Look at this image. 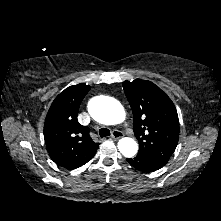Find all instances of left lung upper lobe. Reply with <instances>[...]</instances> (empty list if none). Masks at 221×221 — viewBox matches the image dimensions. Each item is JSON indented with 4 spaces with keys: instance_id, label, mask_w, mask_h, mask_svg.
<instances>
[{
    "instance_id": "5c2ea615",
    "label": "left lung upper lobe",
    "mask_w": 221,
    "mask_h": 221,
    "mask_svg": "<svg viewBox=\"0 0 221 221\" xmlns=\"http://www.w3.org/2000/svg\"><path fill=\"white\" fill-rule=\"evenodd\" d=\"M123 89L134 116L138 154L165 165L179 139V119L173 102L147 80L124 81Z\"/></svg>"
}]
</instances>
